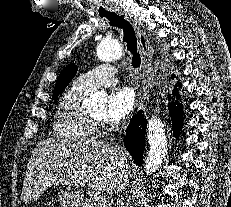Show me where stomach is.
I'll use <instances>...</instances> for the list:
<instances>
[{
	"label": "stomach",
	"mask_w": 231,
	"mask_h": 207,
	"mask_svg": "<svg viewBox=\"0 0 231 207\" xmlns=\"http://www.w3.org/2000/svg\"><path fill=\"white\" fill-rule=\"evenodd\" d=\"M58 201L62 207H78L82 198L79 192L60 190L58 193Z\"/></svg>",
	"instance_id": "1"
}]
</instances>
